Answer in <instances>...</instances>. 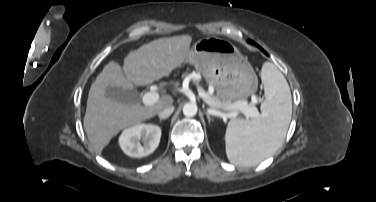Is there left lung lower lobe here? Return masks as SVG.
<instances>
[{
  "label": "left lung lower lobe",
  "instance_id": "obj_1",
  "mask_svg": "<svg viewBox=\"0 0 376 202\" xmlns=\"http://www.w3.org/2000/svg\"><path fill=\"white\" fill-rule=\"evenodd\" d=\"M251 44H254L255 46H257L258 48H260L264 52V50L260 46H258L256 43H254L253 41H251Z\"/></svg>",
  "mask_w": 376,
  "mask_h": 202
}]
</instances>
